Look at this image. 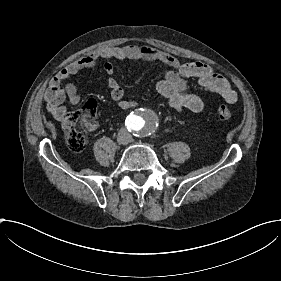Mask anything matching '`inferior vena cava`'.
I'll return each mask as SVG.
<instances>
[{
    "mask_svg": "<svg viewBox=\"0 0 281 281\" xmlns=\"http://www.w3.org/2000/svg\"><path fill=\"white\" fill-rule=\"evenodd\" d=\"M128 137L131 138V135L129 133H127Z\"/></svg>",
    "mask_w": 281,
    "mask_h": 281,
    "instance_id": "602c4592",
    "label": "inferior vena cava"
}]
</instances>
